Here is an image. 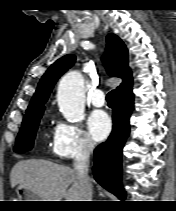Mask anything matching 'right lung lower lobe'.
<instances>
[{"mask_svg": "<svg viewBox=\"0 0 176 211\" xmlns=\"http://www.w3.org/2000/svg\"><path fill=\"white\" fill-rule=\"evenodd\" d=\"M132 109V90L125 94L115 95L112 133L108 140L94 151L93 174L96 181L122 200L126 197V193L121 186V155L129 136V117Z\"/></svg>", "mask_w": 176, "mask_h": 211, "instance_id": "98d812e1", "label": "right lung lower lobe"}]
</instances>
